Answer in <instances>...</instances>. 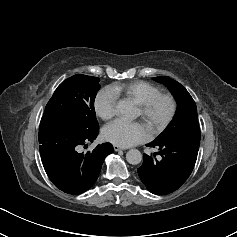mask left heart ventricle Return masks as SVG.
<instances>
[{
	"label": "left heart ventricle",
	"instance_id": "obj_1",
	"mask_svg": "<svg viewBox=\"0 0 237 237\" xmlns=\"http://www.w3.org/2000/svg\"><path fill=\"white\" fill-rule=\"evenodd\" d=\"M168 111H169L168 101H166V100L159 101L153 111V120L159 121V120L163 119L167 115ZM137 115L138 116L140 115L139 109H137Z\"/></svg>",
	"mask_w": 237,
	"mask_h": 237
}]
</instances>
